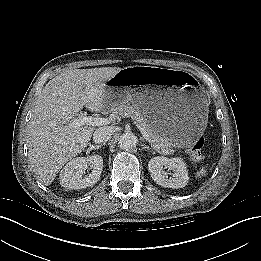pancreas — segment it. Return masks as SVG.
<instances>
[{"label": "pancreas", "mask_w": 261, "mask_h": 261, "mask_svg": "<svg viewBox=\"0 0 261 261\" xmlns=\"http://www.w3.org/2000/svg\"><path fill=\"white\" fill-rule=\"evenodd\" d=\"M111 116L113 118L131 117L134 122L141 125L148 132L151 145L157 152L164 155L172 154L174 152L173 149L175 146L154 132L145 112L137 105L120 104L116 107H112Z\"/></svg>", "instance_id": "1"}]
</instances>
